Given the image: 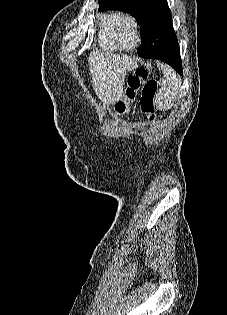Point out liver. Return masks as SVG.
I'll list each match as a JSON object with an SVG mask.
<instances>
[{
    "instance_id": "1",
    "label": "liver",
    "mask_w": 227,
    "mask_h": 315,
    "mask_svg": "<svg viewBox=\"0 0 227 315\" xmlns=\"http://www.w3.org/2000/svg\"><path fill=\"white\" fill-rule=\"evenodd\" d=\"M88 63L92 86L104 106L116 104L122 97L127 72L137 64L134 59L103 52H92Z\"/></svg>"
}]
</instances>
